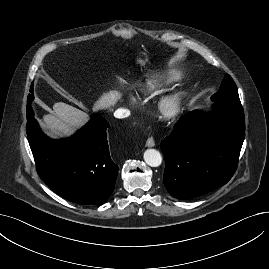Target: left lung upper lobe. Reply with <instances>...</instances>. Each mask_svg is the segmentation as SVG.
<instances>
[{
  "instance_id": "5c2ea615",
  "label": "left lung upper lobe",
  "mask_w": 269,
  "mask_h": 269,
  "mask_svg": "<svg viewBox=\"0 0 269 269\" xmlns=\"http://www.w3.org/2000/svg\"><path fill=\"white\" fill-rule=\"evenodd\" d=\"M211 99L215 102H240L236 84L229 74L225 75L219 91Z\"/></svg>"
}]
</instances>
